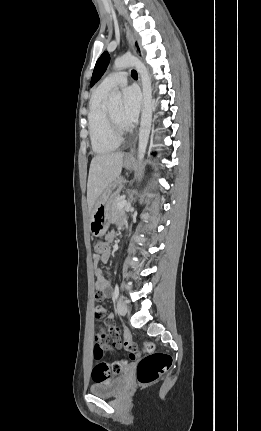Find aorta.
<instances>
[{"instance_id": "obj_1", "label": "aorta", "mask_w": 261, "mask_h": 431, "mask_svg": "<svg viewBox=\"0 0 261 431\" xmlns=\"http://www.w3.org/2000/svg\"><path fill=\"white\" fill-rule=\"evenodd\" d=\"M114 69L121 70L127 67H135L137 72L141 77L142 91H143V107L141 115V124L139 131V143H138V160L139 164L144 158L146 153L147 143L149 139L151 123H152V113H153V103H152V86L151 79L147 67L136 57L125 55L117 58L114 61ZM109 105L117 106L121 103V93L118 90H113L109 94L108 99Z\"/></svg>"}]
</instances>
